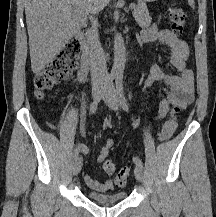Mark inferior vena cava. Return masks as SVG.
<instances>
[{"mask_svg":"<svg viewBox=\"0 0 216 217\" xmlns=\"http://www.w3.org/2000/svg\"><path fill=\"white\" fill-rule=\"evenodd\" d=\"M90 38L91 83L94 88L102 87L109 82L110 77L107 70L105 53L99 41L97 19H94L92 22Z\"/></svg>","mask_w":216,"mask_h":217,"instance_id":"obj_1","label":"inferior vena cava"}]
</instances>
